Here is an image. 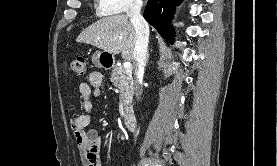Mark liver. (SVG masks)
Returning a JSON list of instances; mask_svg holds the SVG:
<instances>
[{"mask_svg": "<svg viewBox=\"0 0 277 166\" xmlns=\"http://www.w3.org/2000/svg\"><path fill=\"white\" fill-rule=\"evenodd\" d=\"M79 43L95 46L112 55L133 61L135 28L127 15L102 18L84 29L76 39Z\"/></svg>", "mask_w": 277, "mask_h": 166, "instance_id": "1", "label": "liver"}]
</instances>
